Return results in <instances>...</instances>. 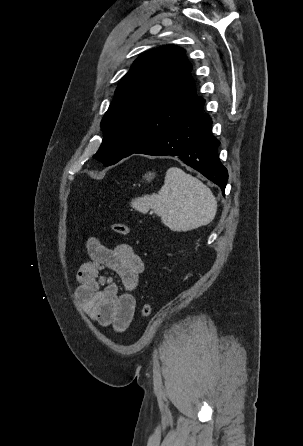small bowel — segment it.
Returning a JSON list of instances; mask_svg holds the SVG:
<instances>
[{
    "instance_id": "c3829d8e",
    "label": "small bowel",
    "mask_w": 303,
    "mask_h": 446,
    "mask_svg": "<svg viewBox=\"0 0 303 446\" xmlns=\"http://www.w3.org/2000/svg\"><path fill=\"white\" fill-rule=\"evenodd\" d=\"M86 250L90 260L78 269L75 297L93 321L123 332L134 317V292L144 270L143 261L128 244L109 248L94 237L88 239ZM102 271L115 273L119 284Z\"/></svg>"
}]
</instances>
